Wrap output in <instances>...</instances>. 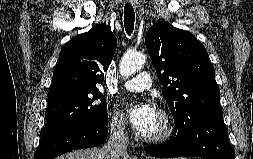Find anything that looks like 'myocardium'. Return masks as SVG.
<instances>
[{
  "label": "myocardium",
  "mask_w": 253,
  "mask_h": 159,
  "mask_svg": "<svg viewBox=\"0 0 253 159\" xmlns=\"http://www.w3.org/2000/svg\"><path fill=\"white\" fill-rule=\"evenodd\" d=\"M158 116L160 117L162 127L160 131L152 135H143V139L152 143H161L170 139L175 133V124L172 117L165 110H158Z\"/></svg>",
  "instance_id": "myocardium-1"
}]
</instances>
